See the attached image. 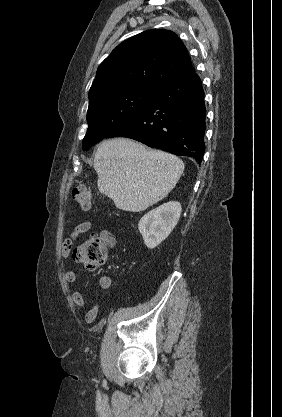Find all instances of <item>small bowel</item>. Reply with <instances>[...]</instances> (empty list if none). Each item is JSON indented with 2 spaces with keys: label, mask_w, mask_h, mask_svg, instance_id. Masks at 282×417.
<instances>
[{
  "label": "small bowel",
  "mask_w": 282,
  "mask_h": 417,
  "mask_svg": "<svg viewBox=\"0 0 282 417\" xmlns=\"http://www.w3.org/2000/svg\"><path fill=\"white\" fill-rule=\"evenodd\" d=\"M93 226L91 221H83L77 224L68 238L65 239L62 249H61V256L62 258H68L71 248L73 246L74 241L82 234L88 232ZM100 238L109 246H114L116 239L114 235L106 230L103 229L100 231ZM64 278L67 282L73 283L76 281L77 275L73 270H65ZM98 286L100 290L106 291L111 287V279L107 275H103L99 278ZM72 301L75 305L79 307H83L85 305V299L83 295L75 291L71 295ZM99 312V304H94L86 313L85 320L87 323H93L98 315Z\"/></svg>",
  "instance_id": "obj_1"
}]
</instances>
